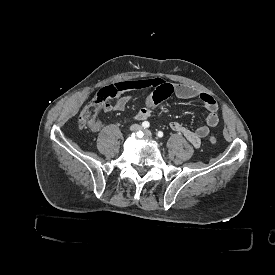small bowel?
I'll return each mask as SVG.
<instances>
[{"instance_id": "small-bowel-1", "label": "small bowel", "mask_w": 275, "mask_h": 275, "mask_svg": "<svg viewBox=\"0 0 275 275\" xmlns=\"http://www.w3.org/2000/svg\"><path fill=\"white\" fill-rule=\"evenodd\" d=\"M120 84H122L124 88L117 95L113 106V109L118 112L126 109L134 92L150 88L153 89V91L146 96L144 106L139 109L135 115L138 121L147 120L155 107L170 95H175L183 99L200 100L207 110L205 123L203 125L193 130L177 120H172L168 124L170 130L183 135L196 148L200 147L201 140L209 135L211 129L219 124V106L216 100L208 93L200 91L193 86L171 84L160 77L124 81ZM88 127L92 132H97L101 128V122L99 120L91 121L88 123Z\"/></svg>"}]
</instances>
